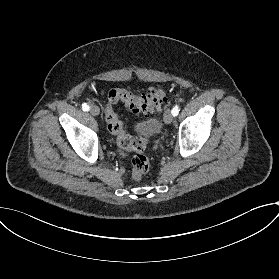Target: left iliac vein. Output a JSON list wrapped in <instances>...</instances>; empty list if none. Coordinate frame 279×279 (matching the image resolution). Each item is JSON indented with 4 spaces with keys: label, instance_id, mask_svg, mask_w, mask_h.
<instances>
[{
    "label": "left iliac vein",
    "instance_id": "4c4485c4",
    "mask_svg": "<svg viewBox=\"0 0 279 279\" xmlns=\"http://www.w3.org/2000/svg\"><path fill=\"white\" fill-rule=\"evenodd\" d=\"M172 121H173V116H172L170 110H167L166 113H165V122L167 124H171Z\"/></svg>",
    "mask_w": 279,
    "mask_h": 279
}]
</instances>
